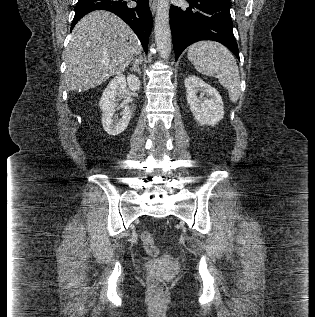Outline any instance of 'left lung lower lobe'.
I'll return each instance as SVG.
<instances>
[{
	"label": "left lung lower lobe",
	"mask_w": 315,
	"mask_h": 317,
	"mask_svg": "<svg viewBox=\"0 0 315 317\" xmlns=\"http://www.w3.org/2000/svg\"><path fill=\"white\" fill-rule=\"evenodd\" d=\"M190 7L170 8V28L176 60L190 44L213 40L225 45L238 59L229 0H187Z\"/></svg>",
	"instance_id": "0a47b994"
}]
</instances>
